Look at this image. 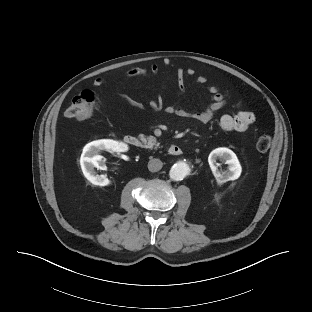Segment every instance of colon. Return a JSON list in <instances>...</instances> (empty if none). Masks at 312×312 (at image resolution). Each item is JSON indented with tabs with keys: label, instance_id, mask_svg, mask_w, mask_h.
<instances>
[{
	"label": "colon",
	"instance_id": "1",
	"mask_svg": "<svg viewBox=\"0 0 312 312\" xmlns=\"http://www.w3.org/2000/svg\"><path fill=\"white\" fill-rule=\"evenodd\" d=\"M97 108L96 100L90 90H84L75 96L65 110V117L75 120H86L91 118ZM272 144L270 135H261L256 142V148L260 152L267 151Z\"/></svg>",
	"mask_w": 312,
	"mask_h": 312
}]
</instances>
